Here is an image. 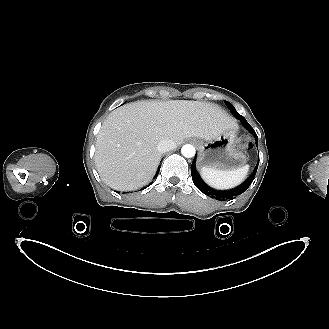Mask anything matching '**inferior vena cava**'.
<instances>
[{"instance_id":"inferior-vena-cava-1","label":"inferior vena cava","mask_w":329,"mask_h":329,"mask_svg":"<svg viewBox=\"0 0 329 329\" xmlns=\"http://www.w3.org/2000/svg\"><path fill=\"white\" fill-rule=\"evenodd\" d=\"M176 147V143L171 139H164L158 143L157 149L160 153L168 152Z\"/></svg>"}]
</instances>
